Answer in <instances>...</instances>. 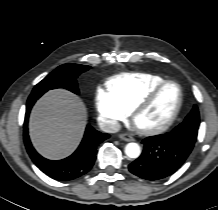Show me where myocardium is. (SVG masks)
Masks as SVG:
<instances>
[{"instance_id": "obj_1", "label": "myocardium", "mask_w": 218, "mask_h": 210, "mask_svg": "<svg viewBox=\"0 0 218 210\" xmlns=\"http://www.w3.org/2000/svg\"><path fill=\"white\" fill-rule=\"evenodd\" d=\"M169 84H174L178 87L179 89V101L178 104L171 115V117L162 125L155 127V128H150V129H141L136 126V118L137 116L147 109L151 104L154 102L160 91L167 85ZM184 103V91L181 86V84L175 80H164L163 82L159 83L158 85L154 86L131 110V120L132 123L134 124L136 130L145 136H153V135H158L161 134L165 131H167L169 128L173 126V124L176 122L178 119L182 107Z\"/></svg>"}]
</instances>
